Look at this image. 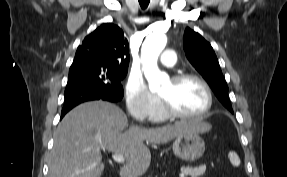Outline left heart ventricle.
<instances>
[{
  "instance_id": "1",
  "label": "left heart ventricle",
  "mask_w": 287,
  "mask_h": 177,
  "mask_svg": "<svg viewBox=\"0 0 287 177\" xmlns=\"http://www.w3.org/2000/svg\"><path fill=\"white\" fill-rule=\"evenodd\" d=\"M158 95L168 99L175 110L187 114L200 113L207 104L205 91L200 84L192 80L177 86L170 80Z\"/></svg>"
}]
</instances>
